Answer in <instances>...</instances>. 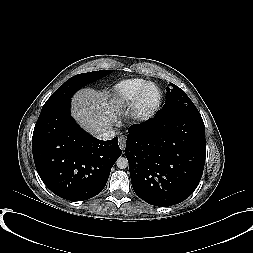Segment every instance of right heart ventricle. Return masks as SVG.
Instances as JSON below:
<instances>
[{"label":"right heart ventricle","mask_w":253,"mask_h":253,"mask_svg":"<svg viewBox=\"0 0 253 253\" xmlns=\"http://www.w3.org/2000/svg\"><path fill=\"white\" fill-rule=\"evenodd\" d=\"M147 83L140 78L125 79L114 86L113 103L117 108H124L132 105L139 90Z\"/></svg>","instance_id":"right-heart-ventricle-1"}]
</instances>
